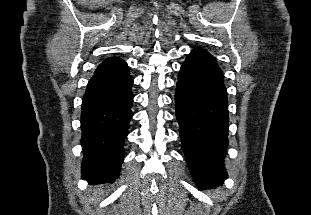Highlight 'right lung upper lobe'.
<instances>
[{
  "label": "right lung upper lobe",
  "instance_id": "right-lung-upper-lobe-1",
  "mask_svg": "<svg viewBox=\"0 0 311 215\" xmlns=\"http://www.w3.org/2000/svg\"><path fill=\"white\" fill-rule=\"evenodd\" d=\"M111 60H118V58L111 57V58L106 59V61H111Z\"/></svg>",
  "mask_w": 311,
  "mask_h": 215
}]
</instances>
